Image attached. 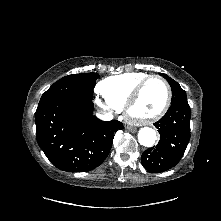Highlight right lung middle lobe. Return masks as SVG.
I'll use <instances>...</instances> for the list:
<instances>
[{
    "instance_id": "dd1d6c3e",
    "label": "right lung middle lobe",
    "mask_w": 221,
    "mask_h": 221,
    "mask_svg": "<svg viewBox=\"0 0 221 221\" xmlns=\"http://www.w3.org/2000/svg\"><path fill=\"white\" fill-rule=\"evenodd\" d=\"M98 77L97 73H83L61 78L43 93L37 109L62 98L92 101L93 88Z\"/></svg>"
}]
</instances>
